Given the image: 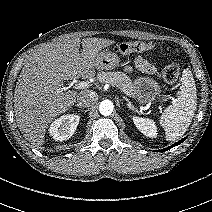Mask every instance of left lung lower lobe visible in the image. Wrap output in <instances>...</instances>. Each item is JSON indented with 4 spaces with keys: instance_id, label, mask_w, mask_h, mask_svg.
Wrapping results in <instances>:
<instances>
[{
    "instance_id": "0a47b994",
    "label": "left lung lower lobe",
    "mask_w": 212,
    "mask_h": 212,
    "mask_svg": "<svg viewBox=\"0 0 212 212\" xmlns=\"http://www.w3.org/2000/svg\"><path fill=\"white\" fill-rule=\"evenodd\" d=\"M186 138H187V137L183 138V139L180 140L179 142H177V143H175V144H173V145H171V146H169V147H167V148H165V149L157 150V152H164V151L170 150L172 147H175V146L181 144L182 142H184Z\"/></svg>"
}]
</instances>
